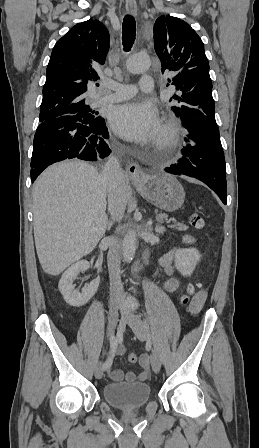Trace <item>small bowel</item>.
Instances as JSON below:
<instances>
[{
    "mask_svg": "<svg viewBox=\"0 0 259 448\" xmlns=\"http://www.w3.org/2000/svg\"><path fill=\"white\" fill-rule=\"evenodd\" d=\"M184 242L186 244H193L195 242V240L191 236H186L184 238ZM175 254H176V249L165 253L160 259V264L164 270V273L168 276V279L166 280V282L164 284V288L168 292H174L179 286V281L175 277H173V273H174V265L173 264H174ZM205 300H206V293L199 292L198 295L193 299V301L190 305V310H191L192 314L196 315L201 311V309L205 303ZM123 353H124V348L122 346L116 347L114 355L115 354H123ZM109 354H110L109 355V357H110L111 352H109ZM139 365L141 366L142 370L138 374H135L133 372H128L124 375L121 370L114 369L109 372V377L113 381H121L123 379H125L127 382L144 381L150 375L149 356L146 354L141 355L139 358Z\"/></svg>",
    "mask_w": 259,
    "mask_h": 448,
    "instance_id": "1",
    "label": "small bowel"
}]
</instances>
